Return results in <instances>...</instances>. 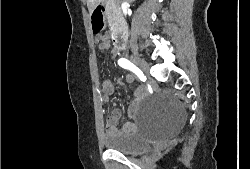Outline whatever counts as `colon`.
<instances>
[{
    "label": "colon",
    "mask_w": 250,
    "mask_h": 169,
    "mask_svg": "<svg viewBox=\"0 0 250 169\" xmlns=\"http://www.w3.org/2000/svg\"><path fill=\"white\" fill-rule=\"evenodd\" d=\"M92 31L94 34H99L105 29L104 15L100 8H96L91 15ZM167 146H177L176 139L167 141Z\"/></svg>",
    "instance_id": "5ec220e1"
}]
</instances>
